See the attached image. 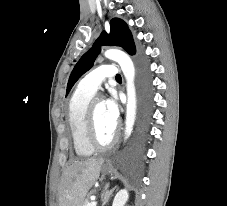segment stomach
I'll use <instances>...</instances> for the list:
<instances>
[{
  "label": "stomach",
  "instance_id": "1",
  "mask_svg": "<svg viewBox=\"0 0 227 206\" xmlns=\"http://www.w3.org/2000/svg\"><path fill=\"white\" fill-rule=\"evenodd\" d=\"M101 168H102V172H103L104 174H109V173L111 172L110 167H109L108 165H106V164L104 163V161H103V163H102Z\"/></svg>",
  "mask_w": 227,
  "mask_h": 206
}]
</instances>
